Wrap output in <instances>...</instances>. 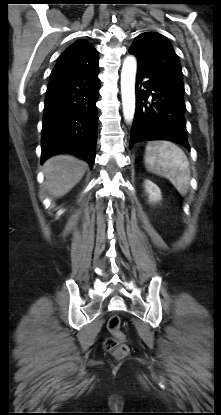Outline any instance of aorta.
<instances>
[{
    "mask_svg": "<svg viewBox=\"0 0 221 415\" xmlns=\"http://www.w3.org/2000/svg\"><path fill=\"white\" fill-rule=\"evenodd\" d=\"M137 61L134 56H127L121 72V95L123 115L127 122H131L135 113V77Z\"/></svg>",
    "mask_w": 221,
    "mask_h": 415,
    "instance_id": "aorta-1",
    "label": "aorta"
}]
</instances>
